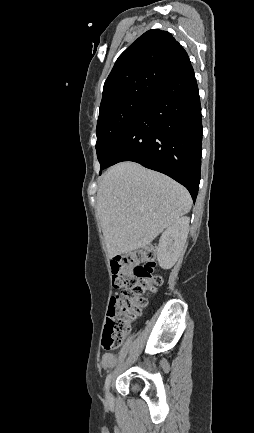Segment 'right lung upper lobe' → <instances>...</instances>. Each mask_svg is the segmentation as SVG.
I'll return each instance as SVG.
<instances>
[{
	"label": "right lung upper lobe",
	"mask_w": 254,
	"mask_h": 433,
	"mask_svg": "<svg viewBox=\"0 0 254 433\" xmlns=\"http://www.w3.org/2000/svg\"><path fill=\"white\" fill-rule=\"evenodd\" d=\"M189 65L186 51L169 32L149 30L115 62L104 83L100 109L126 99H150L163 84Z\"/></svg>",
	"instance_id": "right-lung-upper-lobe-1"
}]
</instances>
